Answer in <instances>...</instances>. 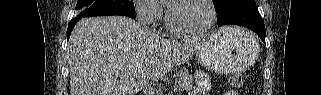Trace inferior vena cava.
<instances>
[{
	"label": "inferior vena cava",
	"instance_id": "obj_1",
	"mask_svg": "<svg viewBox=\"0 0 321 95\" xmlns=\"http://www.w3.org/2000/svg\"><path fill=\"white\" fill-rule=\"evenodd\" d=\"M144 95H152V93H151V91H150L149 88H146V89L144 90Z\"/></svg>",
	"mask_w": 321,
	"mask_h": 95
}]
</instances>
